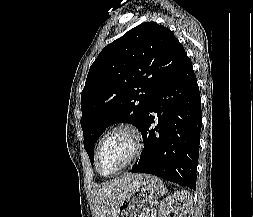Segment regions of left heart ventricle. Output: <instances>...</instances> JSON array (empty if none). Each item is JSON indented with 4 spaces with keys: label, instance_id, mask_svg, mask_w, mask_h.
<instances>
[{
    "label": "left heart ventricle",
    "instance_id": "left-heart-ventricle-1",
    "mask_svg": "<svg viewBox=\"0 0 253 217\" xmlns=\"http://www.w3.org/2000/svg\"><path fill=\"white\" fill-rule=\"evenodd\" d=\"M133 151L131 138L125 133H115L103 144L99 154V170L110 174L122 166Z\"/></svg>",
    "mask_w": 253,
    "mask_h": 217
}]
</instances>
